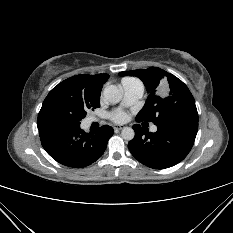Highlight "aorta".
<instances>
[{"label":"aorta","instance_id":"obj_1","mask_svg":"<svg viewBox=\"0 0 233 233\" xmlns=\"http://www.w3.org/2000/svg\"><path fill=\"white\" fill-rule=\"evenodd\" d=\"M122 90L116 85H109L104 88L103 96L104 99L111 103L116 104L122 99ZM135 132L131 127H124L121 131V136L125 140H132L134 138Z\"/></svg>","mask_w":233,"mask_h":233}]
</instances>
